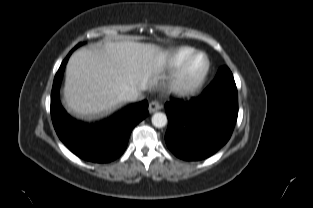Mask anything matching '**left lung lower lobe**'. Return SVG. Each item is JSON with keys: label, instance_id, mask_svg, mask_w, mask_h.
<instances>
[{"label": "left lung lower lobe", "instance_id": "1", "mask_svg": "<svg viewBox=\"0 0 313 208\" xmlns=\"http://www.w3.org/2000/svg\"><path fill=\"white\" fill-rule=\"evenodd\" d=\"M165 109L170 151L183 160L205 159L231 137L238 115L236 84L214 79L200 96L186 102L172 99Z\"/></svg>", "mask_w": 313, "mask_h": 208}]
</instances>
